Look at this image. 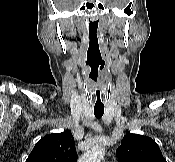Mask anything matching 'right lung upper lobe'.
Returning a JSON list of instances; mask_svg holds the SVG:
<instances>
[{"mask_svg": "<svg viewBox=\"0 0 175 162\" xmlns=\"http://www.w3.org/2000/svg\"><path fill=\"white\" fill-rule=\"evenodd\" d=\"M74 138L69 131L52 133L41 138L26 162H76Z\"/></svg>", "mask_w": 175, "mask_h": 162, "instance_id": "obj_1", "label": "right lung upper lobe"}]
</instances>
